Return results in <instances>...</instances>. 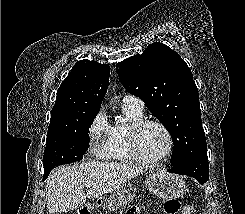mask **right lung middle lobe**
I'll return each mask as SVG.
<instances>
[{
	"instance_id": "1",
	"label": "right lung middle lobe",
	"mask_w": 245,
	"mask_h": 214,
	"mask_svg": "<svg viewBox=\"0 0 245 214\" xmlns=\"http://www.w3.org/2000/svg\"><path fill=\"white\" fill-rule=\"evenodd\" d=\"M98 112L83 114L72 127L47 135L43 155V179L58 165L82 160L89 147L88 131Z\"/></svg>"
}]
</instances>
